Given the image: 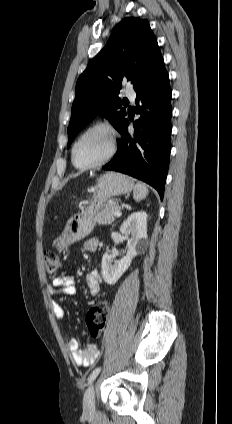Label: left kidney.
Here are the masks:
<instances>
[{"label": "left kidney", "mask_w": 232, "mask_h": 424, "mask_svg": "<svg viewBox=\"0 0 232 424\" xmlns=\"http://www.w3.org/2000/svg\"><path fill=\"white\" fill-rule=\"evenodd\" d=\"M147 217L146 212L138 211L132 213L123 222L120 232L125 236L131 237L127 240V254L121 260H114L113 255L107 252L103 255L102 276L107 284H115L129 268L132 259L147 248Z\"/></svg>", "instance_id": "left-kidney-1"}]
</instances>
